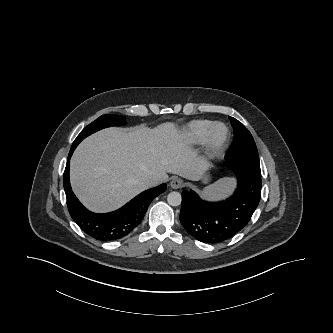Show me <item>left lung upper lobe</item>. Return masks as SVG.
Listing matches in <instances>:
<instances>
[{
    "instance_id": "5c2ea615",
    "label": "left lung upper lobe",
    "mask_w": 333,
    "mask_h": 333,
    "mask_svg": "<svg viewBox=\"0 0 333 333\" xmlns=\"http://www.w3.org/2000/svg\"><path fill=\"white\" fill-rule=\"evenodd\" d=\"M230 120L235 135L234 143L226 153L227 159L243 163L261 173L258 151L251 133L235 118L230 117Z\"/></svg>"
}]
</instances>
